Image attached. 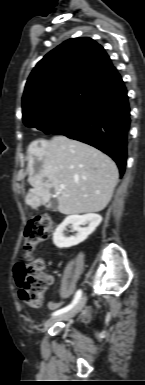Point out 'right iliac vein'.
<instances>
[{
    "instance_id": "1",
    "label": "right iliac vein",
    "mask_w": 145,
    "mask_h": 385,
    "mask_svg": "<svg viewBox=\"0 0 145 385\" xmlns=\"http://www.w3.org/2000/svg\"><path fill=\"white\" fill-rule=\"evenodd\" d=\"M85 303H86V296L82 297L80 299V301H78V303L75 305V307L72 308L70 311H68L62 315L48 319L45 323V327H49L57 321L67 320V319H70V318L76 316L83 309Z\"/></svg>"
}]
</instances>
